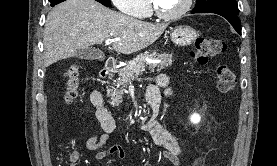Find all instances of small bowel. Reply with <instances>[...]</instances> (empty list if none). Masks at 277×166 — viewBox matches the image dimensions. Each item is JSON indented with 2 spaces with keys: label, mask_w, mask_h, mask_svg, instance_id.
Masks as SVG:
<instances>
[{
  "label": "small bowel",
  "mask_w": 277,
  "mask_h": 166,
  "mask_svg": "<svg viewBox=\"0 0 277 166\" xmlns=\"http://www.w3.org/2000/svg\"><path fill=\"white\" fill-rule=\"evenodd\" d=\"M167 84L168 80L166 76L159 75L157 77V85L150 86L147 90V94L149 95L150 91L156 90L160 95L159 87L166 88ZM168 92L169 89H166V93ZM90 100L96 107V116L100 123L101 131L89 137L86 142L87 149L90 151H97L95 155L97 160H103L109 156L123 158V149L118 145L102 150V148L110 140L116 124L111 114L104 107L103 97L99 91L93 90L90 94ZM149 130L155 143L163 149V156L174 166H180L181 148L171 132L158 122L151 123Z\"/></svg>",
  "instance_id": "small-bowel-1"
}]
</instances>
